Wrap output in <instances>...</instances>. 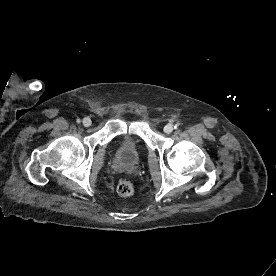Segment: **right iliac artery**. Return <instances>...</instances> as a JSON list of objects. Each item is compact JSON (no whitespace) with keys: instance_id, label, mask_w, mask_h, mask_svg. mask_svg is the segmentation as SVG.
I'll return each mask as SVG.
<instances>
[{"instance_id":"1","label":"right iliac artery","mask_w":276,"mask_h":276,"mask_svg":"<svg viewBox=\"0 0 276 276\" xmlns=\"http://www.w3.org/2000/svg\"><path fill=\"white\" fill-rule=\"evenodd\" d=\"M76 122L79 124L81 121H80V119H77Z\"/></svg>"}]
</instances>
